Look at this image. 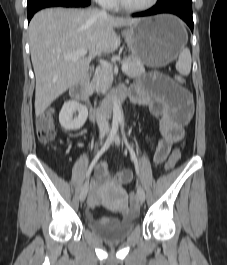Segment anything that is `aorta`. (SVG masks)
Masks as SVG:
<instances>
[{
    "label": "aorta",
    "mask_w": 227,
    "mask_h": 265,
    "mask_svg": "<svg viewBox=\"0 0 227 265\" xmlns=\"http://www.w3.org/2000/svg\"><path fill=\"white\" fill-rule=\"evenodd\" d=\"M112 108H113V123H118L122 120V114H121L119 101L116 97H114L112 101Z\"/></svg>",
    "instance_id": "762f6f07"
}]
</instances>
